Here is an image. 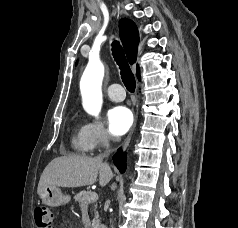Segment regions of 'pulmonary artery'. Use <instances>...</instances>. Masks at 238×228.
<instances>
[{
	"instance_id": "e3ab8cb5",
	"label": "pulmonary artery",
	"mask_w": 238,
	"mask_h": 228,
	"mask_svg": "<svg viewBox=\"0 0 238 228\" xmlns=\"http://www.w3.org/2000/svg\"><path fill=\"white\" fill-rule=\"evenodd\" d=\"M108 97L116 102L122 101L125 98V92L120 84H112L107 88Z\"/></svg>"
}]
</instances>
